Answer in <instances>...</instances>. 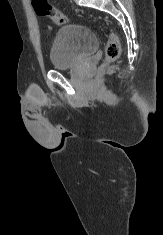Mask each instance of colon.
<instances>
[{
  "label": "colon",
  "instance_id": "colon-1",
  "mask_svg": "<svg viewBox=\"0 0 163 235\" xmlns=\"http://www.w3.org/2000/svg\"><path fill=\"white\" fill-rule=\"evenodd\" d=\"M32 4L36 12L41 15L50 18L58 25H64L68 22L65 14L60 10L53 7L47 0H32ZM120 56V43L118 37L114 33H110L107 38L105 48V61L114 62Z\"/></svg>",
  "mask_w": 163,
  "mask_h": 235
}]
</instances>
